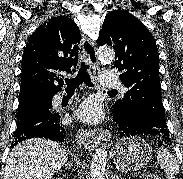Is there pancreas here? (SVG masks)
Returning a JSON list of instances; mask_svg holds the SVG:
<instances>
[{
	"instance_id": "cf45deb5",
	"label": "pancreas",
	"mask_w": 183,
	"mask_h": 179,
	"mask_svg": "<svg viewBox=\"0 0 183 179\" xmlns=\"http://www.w3.org/2000/svg\"><path fill=\"white\" fill-rule=\"evenodd\" d=\"M148 179H160V178L157 175H153V176H150Z\"/></svg>"
}]
</instances>
